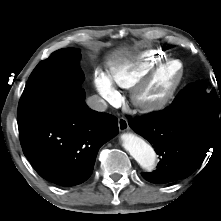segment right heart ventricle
<instances>
[{"instance_id":"1","label":"right heart ventricle","mask_w":221,"mask_h":221,"mask_svg":"<svg viewBox=\"0 0 221 221\" xmlns=\"http://www.w3.org/2000/svg\"><path fill=\"white\" fill-rule=\"evenodd\" d=\"M166 55L157 50L143 52L134 61L115 63L109 66L111 80L120 87L132 88L146 76Z\"/></svg>"}]
</instances>
